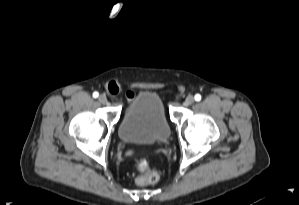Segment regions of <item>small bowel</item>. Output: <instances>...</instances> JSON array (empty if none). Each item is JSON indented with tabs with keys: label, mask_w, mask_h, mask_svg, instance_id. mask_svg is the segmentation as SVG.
Wrapping results in <instances>:
<instances>
[{
	"label": "small bowel",
	"mask_w": 299,
	"mask_h": 205,
	"mask_svg": "<svg viewBox=\"0 0 299 205\" xmlns=\"http://www.w3.org/2000/svg\"><path fill=\"white\" fill-rule=\"evenodd\" d=\"M109 90H110V92L113 93V91L111 90V88H109ZM126 96H127V99H128V100H132V99L134 98V93H133L132 91H128V92L126 93Z\"/></svg>",
	"instance_id": "1"
}]
</instances>
